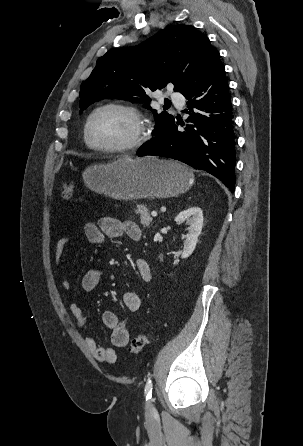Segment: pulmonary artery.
I'll use <instances>...</instances> for the list:
<instances>
[{
	"instance_id": "1",
	"label": "pulmonary artery",
	"mask_w": 303,
	"mask_h": 446,
	"mask_svg": "<svg viewBox=\"0 0 303 446\" xmlns=\"http://www.w3.org/2000/svg\"><path fill=\"white\" fill-rule=\"evenodd\" d=\"M170 97L175 102V104L179 107H181L185 102L184 96L178 92H171Z\"/></svg>"
}]
</instances>
